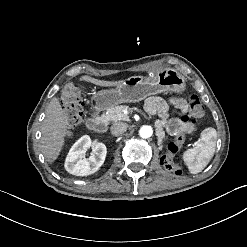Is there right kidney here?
I'll return each mask as SVG.
<instances>
[{"label": "right kidney", "instance_id": "ca27d5eb", "mask_svg": "<svg viewBox=\"0 0 247 247\" xmlns=\"http://www.w3.org/2000/svg\"><path fill=\"white\" fill-rule=\"evenodd\" d=\"M91 146L95 154H91L88 158H83ZM105 157V145L91 143L90 136L83 135L71 146L65 158L64 167L67 172L73 175L87 176L96 172L102 166Z\"/></svg>", "mask_w": 247, "mask_h": 247}]
</instances>
